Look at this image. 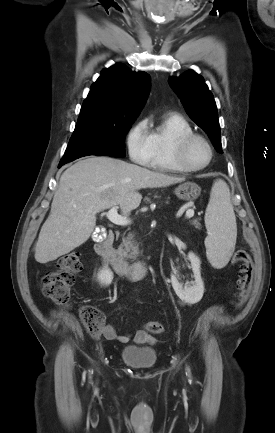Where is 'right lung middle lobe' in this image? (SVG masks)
<instances>
[{
    "label": "right lung middle lobe",
    "mask_w": 275,
    "mask_h": 433,
    "mask_svg": "<svg viewBox=\"0 0 275 433\" xmlns=\"http://www.w3.org/2000/svg\"><path fill=\"white\" fill-rule=\"evenodd\" d=\"M133 122L78 121L60 164L89 155L124 157L125 135Z\"/></svg>",
    "instance_id": "obj_1"
}]
</instances>
